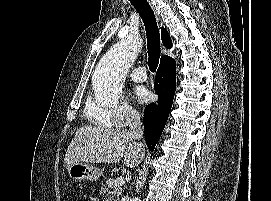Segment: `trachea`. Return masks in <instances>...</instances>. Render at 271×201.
<instances>
[{
	"instance_id": "trachea-1",
	"label": "trachea",
	"mask_w": 271,
	"mask_h": 201,
	"mask_svg": "<svg viewBox=\"0 0 271 201\" xmlns=\"http://www.w3.org/2000/svg\"><path fill=\"white\" fill-rule=\"evenodd\" d=\"M141 16L147 37L148 66L151 72H156L161 54L160 34L155 15L147 0H130Z\"/></svg>"
}]
</instances>
